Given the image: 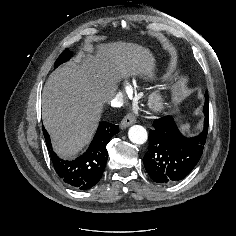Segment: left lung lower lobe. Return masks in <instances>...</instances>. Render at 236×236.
<instances>
[{
    "label": "left lung lower lobe",
    "mask_w": 236,
    "mask_h": 236,
    "mask_svg": "<svg viewBox=\"0 0 236 236\" xmlns=\"http://www.w3.org/2000/svg\"><path fill=\"white\" fill-rule=\"evenodd\" d=\"M204 115L203 130L195 137L183 136L171 116L153 122L149 134V149L143 162L155 182L175 183L185 178L196 166L208 134L209 112Z\"/></svg>",
    "instance_id": "obj_1"
}]
</instances>
